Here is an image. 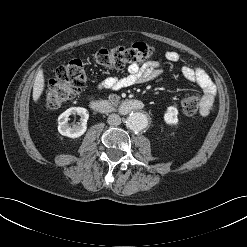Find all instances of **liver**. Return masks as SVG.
Returning a JSON list of instances; mask_svg holds the SVG:
<instances>
[{
  "mask_svg": "<svg viewBox=\"0 0 247 247\" xmlns=\"http://www.w3.org/2000/svg\"><path fill=\"white\" fill-rule=\"evenodd\" d=\"M44 87H45V79H44L43 70L41 69L38 71L36 75L33 86V100L35 102H37L40 99L44 91Z\"/></svg>",
  "mask_w": 247,
  "mask_h": 247,
  "instance_id": "1",
  "label": "liver"
}]
</instances>
